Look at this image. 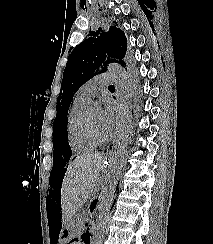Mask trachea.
<instances>
[{
  "label": "trachea",
  "instance_id": "3493384b",
  "mask_svg": "<svg viewBox=\"0 0 213 244\" xmlns=\"http://www.w3.org/2000/svg\"><path fill=\"white\" fill-rule=\"evenodd\" d=\"M109 88H114V85H110Z\"/></svg>",
  "mask_w": 213,
  "mask_h": 244
}]
</instances>
